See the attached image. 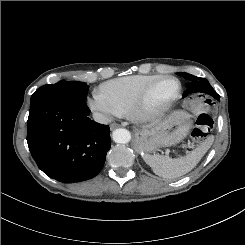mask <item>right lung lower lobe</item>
Masks as SVG:
<instances>
[{
  "label": "right lung lower lobe",
  "instance_id": "98d812e1",
  "mask_svg": "<svg viewBox=\"0 0 245 245\" xmlns=\"http://www.w3.org/2000/svg\"><path fill=\"white\" fill-rule=\"evenodd\" d=\"M86 102L49 98L30 106L27 142L38 167L63 183L95 177L110 149V129L89 118Z\"/></svg>",
  "mask_w": 245,
  "mask_h": 245
}]
</instances>
